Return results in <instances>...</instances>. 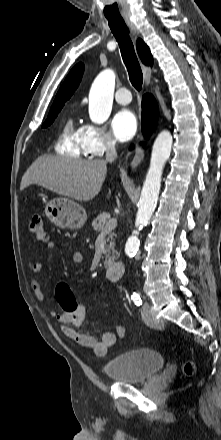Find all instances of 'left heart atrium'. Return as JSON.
<instances>
[{
    "mask_svg": "<svg viewBox=\"0 0 221 440\" xmlns=\"http://www.w3.org/2000/svg\"><path fill=\"white\" fill-rule=\"evenodd\" d=\"M111 127L118 140L127 141L131 139L137 131V120L131 111L124 109L113 117Z\"/></svg>",
    "mask_w": 221,
    "mask_h": 440,
    "instance_id": "obj_1",
    "label": "left heart atrium"
}]
</instances>
